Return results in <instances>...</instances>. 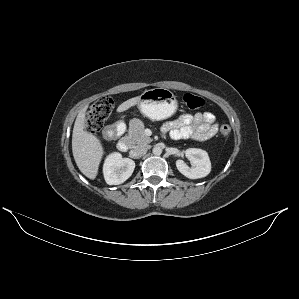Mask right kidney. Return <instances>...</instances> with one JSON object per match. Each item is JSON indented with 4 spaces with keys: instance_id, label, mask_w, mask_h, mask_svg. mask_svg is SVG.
<instances>
[{
    "instance_id": "right-kidney-1",
    "label": "right kidney",
    "mask_w": 299,
    "mask_h": 299,
    "mask_svg": "<svg viewBox=\"0 0 299 299\" xmlns=\"http://www.w3.org/2000/svg\"><path fill=\"white\" fill-rule=\"evenodd\" d=\"M135 162L129 158H122L120 153L114 152L107 156L103 174L107 184L119 185L124 183L133 173Z\"/></svg>"
}]
</instances>
